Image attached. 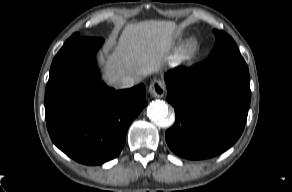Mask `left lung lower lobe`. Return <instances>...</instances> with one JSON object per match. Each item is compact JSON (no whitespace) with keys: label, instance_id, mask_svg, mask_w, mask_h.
Masks as SVG:
<instances>
[{"label":"left lung lower lobe","instance_id":"left-lung-lower-lobe-1","mask_svg":"<svg viewBox=\"0 0 292 192\" xmlns=\"http://www.w3.org/2000/svg\"><path fill=\"white\" fill-rule=\"evenodd\" d=\"M175 124L166 131L170 149L186 159L214 157L240 137L250 104V79L241 55H221L164 75Z\"/></svg>","mask_w":292,"mask_h":192}]
</instances>
